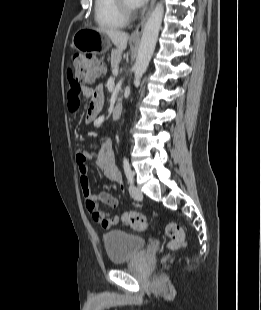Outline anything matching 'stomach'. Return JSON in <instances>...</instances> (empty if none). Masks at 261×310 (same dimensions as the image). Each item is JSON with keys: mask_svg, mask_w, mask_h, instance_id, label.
Here are the masks:
<instances>
[{"mask_svg": "<svg viewBox=\"0 0 261 310\" xmlns=\"http://www.w3.org/2000/svg\"><path fill=\"white\" fill-rule=\"evenodd\" d=\"M72 45L80 51H93L96 54H102L109 49L110 39L103 32L82 29L74 34Z\"/></svg>", "mask_w": 261, "mask_h": 310, "instance_id": "1", "label": "stomach"}]
</instances>
